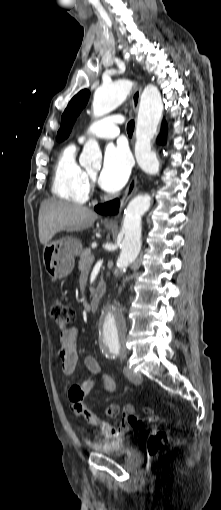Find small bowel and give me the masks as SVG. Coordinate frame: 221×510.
I'll return each instance as SVG.
<instances>
[{
  "label": "small bowel",
  "mask_w": 221,
  "mask_h": 510,
  "mask_svg": "<svg viewBox=\"0 0 221 510\" xmlns=\"http://www.w3.org/2000/svg\"><path fill=\"white\" fill-rule=\"evenodd\" d=\"M77 337L78 330L75 327L68 329L67 331L61 333L60 335V347L58 349V357L60 359L61 371L63 375L69 376L71 375L76 367L78 353H77ZM84 363L89 372L100 378V387L104 392L110 393L114 390V382L113 380L105 374H102L101 367L99 365L98 360L92 354H88ZM76 387V389H74ZM92 382L89 380H85L77 385H74L70 388L68 392V399L70 402V408L72 413L75 416L84 415V409H87L83 403V399L87 392L91 389ZM81 390L85 392L84 396L80 395ZM109 408H114L117 410V413L113 416H118L121 412V409L117 405H113ZM147 412L151 413L150 409H147ZM134 413V408L131 405H126L123 408L122 417L118 420V426L114 427L110 424L105 423V426L109 430H103L106 437L109 439H117L126 432L130 430L132 427L127 422V416L129 414Z\"/></svg>",
  "instance_id": "1"
}]
</instances>
